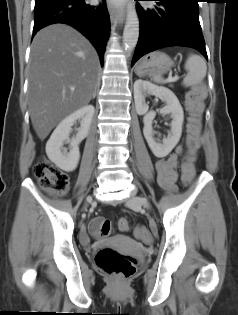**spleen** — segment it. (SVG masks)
<instances>
[{
	"mask_svg": "<svg viewBox=\"0 0 238 315\" xmlns=\"http://www.w3.org/2000/svg\"><path fill=\"white\" fill-rule=\"evenodd\" d=\"M187 75L183 80L185 87H192L202 82L206 76L207 66L205 60L199 55H190L185 63ZM153 81L162 83L163 79L160 76H153Z\"/></svg>",
	"mask_w": 238,
	"mask_h": 315,
	"instance_id": "1",
	"label": "spleen"
}]
</instances>
